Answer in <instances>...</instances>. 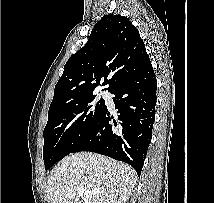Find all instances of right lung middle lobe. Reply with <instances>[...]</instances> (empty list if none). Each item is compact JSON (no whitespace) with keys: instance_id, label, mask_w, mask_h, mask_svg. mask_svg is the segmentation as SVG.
<instances>
[{"instance_id":"right-lung-middle-lobe-1","label":"right lung middle lobe","mask_w":214,"mask_h":203,"mask_svg":"<svg viewBox=\"0 0 214 203\" xmlns=\"http://www.w3.org/2000/svg\"><path fill=\"white\" fill-rule=\"evenodd\" d=\"M104 106V99L97 101L92 94L48 112V122L43 132L46 170L73 151L93 127Z\"/></svg>"}]
</instances>
